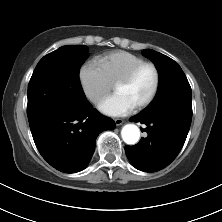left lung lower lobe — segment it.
<instances>
[{
    "label": "left lung lower lobe",
    "instance_id": "1",
    "mask_svg": "<svg viewBox=\"0 0 222 222\" xmlns=\"http://www.w3.org/2000/svg\"><path fill=\"white\" fill-rule=\"evenodd\" d=\"M130 120L147 125L144 131L148 136L135 146H125L126 155L136 169L156 172L168 166L182 149L192 120V103L166 99Z\"/></svg>",
    "mask_w": 222,
    "mask_h": 222
}]
</instances>
